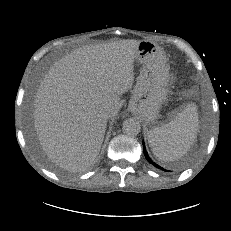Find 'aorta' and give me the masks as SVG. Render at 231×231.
<instances>
[{
  "mask_svg": "<svg viewBox=\"0 0 231 231\" xmlns=\"http://www.w3.org/2000/svg\"><path fill=\"white\" fill-rule=\"evenodd\" d=\"M123 132L128 136H136L140 133L141 125L136 119H126L122 126Z\"/></svg>",
  "mask_w": 231,
  "mask_h": 231,
  "instance_id": "obj_1",
  "label": "aorta"
}]
</instances>
